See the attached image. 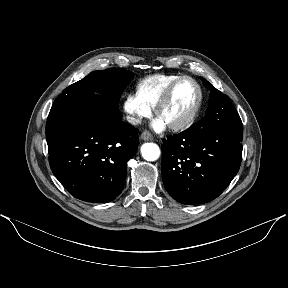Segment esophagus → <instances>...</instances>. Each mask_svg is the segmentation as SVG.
<instances>
[{
  "label": "esophagus",
  "mask_w": 288,
  "mask_h": 288,
  "mask_svg": "<svg viewBox=\"0 0 288 288\" xmlns=\"http://www.w3.org/2000/svg\"><path fill=\"white\" fill-rule=\"evenodd\" d=\"M140 137H141L142 140H145V141H151V140H153L152 134H151L150 132H148V131L142 132V134H141Z\"/></svg>",
  "instance_id": "1"
}]
</instances>
